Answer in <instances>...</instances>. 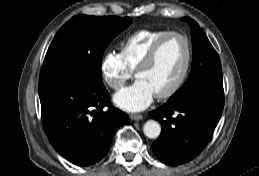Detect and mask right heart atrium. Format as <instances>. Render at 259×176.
I'll use <instances>...</instances> for the list:
<instances>
[{"instance_id": "1", "label": "right heart atrium", "mask_w": 259, "mask_h": 176, "mask_svg": "<svg viewBox=\"0 0 259 176\" xmlns=\"http://www.w3.org/2000/svg\"><path fill=\"white\" fill-rule=\"evenodd\" d=\"M99 70L103 81L112 89L120 90L132 77L120 53L109 51L101 59Z\"/></svg>"}]
</instances>
